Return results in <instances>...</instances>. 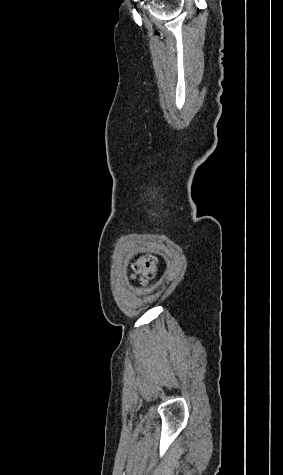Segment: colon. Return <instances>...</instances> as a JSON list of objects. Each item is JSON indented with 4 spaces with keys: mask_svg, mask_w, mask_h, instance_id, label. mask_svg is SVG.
I'll return each instance as SVG.
<instances>
[{
    "mask_svg": "<svg viewBox=\"0 0 283 475\" xmlns=\"http://www.w3.org/2000/svg\"><path fill=\"white\" fill-rule=\"evenodd\" d=\"M155 257L146 253L135 259L132 278L140 283H146L153 276Z\"/></svg>",
    "mask_w": 283,
    "mask_h": 475,
    "instance_id": "1",
    "label": "colon"
}]
</instances>
